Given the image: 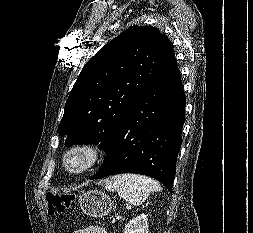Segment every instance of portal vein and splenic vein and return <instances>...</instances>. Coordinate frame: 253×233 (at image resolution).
<instances>
[{"mask_svg": "<svg viewBox=\"0 0 253 233\" xmlns=\"http://www.w3.org/2000/svg\"><path fill=\"white\" fill-rule=\"evenodd\" d=\"M121 217L120 216H117L116 219L119 220Z\"/></svg>", "mask_w": 253, "mask_h": 233, "instance_id": "portal-vein-and-splenic-vein-1", "label": "portal vein and splenic vein"}]
</instances>
